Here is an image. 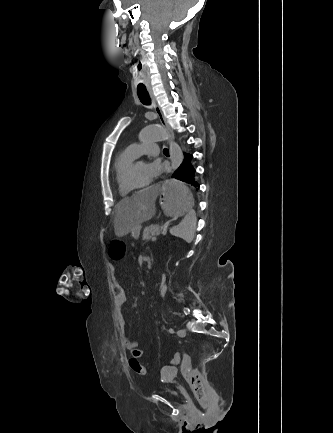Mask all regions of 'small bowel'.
<instances>
[{"instance_id": "c3829d8e", "label": "small bowel", "mask_w": 333, "mask_h": 433, "mask_svg": "<svg viewBox=\"0 0 333 433\" xmlns=\"http://www.w3.org/2000/svg\"><path fill=\"white\" fill-rule=\"evenodd\" d=\"M113 287H114V303H115L116 308L119 311L118 312V323L122 329V344L126 349H128L131 352V358H134L137 361H139V358L143 355L144 350L139 347L138 342L130 339L129 336L125 332L126 320H125V317L121 311L122 306L126 302L125 289L118 280H115L113 282ZM166 289H167V286L165 284V285H163L164 291L160 294L163 295L165 293Z\"/></svg>"}]
</instances>
